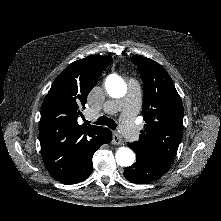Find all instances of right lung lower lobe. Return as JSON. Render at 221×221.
<instances>
[{
    "mask_svg": "<svg viewBox=\"0 0 221 221\" xmlns=\"http://www.w3.org/2000/svg\"><path fill=\"white\" fill-rule=\"evenodd\" d=\"M112 140V132L108 128L103 130L97 136L95 142L89 143L81 152L74 172L62 183L75 184L87 179L92 172V158L94 152L102 145L108 144Z\"/></svg>",
    "mask_w": 221,
    "mask_h": 221,
    "instance_id": "1",
    "label": "right lung lower lobe"
}]
</instances>
